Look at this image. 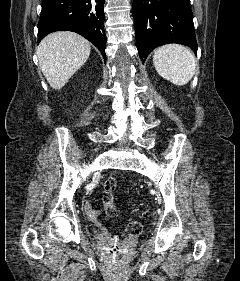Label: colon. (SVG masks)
<instances>
[{"label":"colon","mask_w":240,"mask_h":281,"mask_svg":"<svg viewBox=\"0 0 240 281\" xmlns=\"http://www.w3.org/2000/svg\"><path fill=\"white\" fill-rule=\"evenodd\" d=\"M117 189V181L115 178H108L104 183V192L102 196L105 214L108 217H115L117 214V207L114 202V193ZM127 232L131 235H138L142 232V224L139 221H131L127 225ZM111 254L114 257L118 256V248L112 247Z\"/></svg>","instance_id":"5ec220e1"}]
</instances>
